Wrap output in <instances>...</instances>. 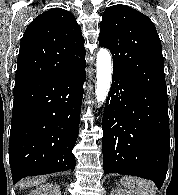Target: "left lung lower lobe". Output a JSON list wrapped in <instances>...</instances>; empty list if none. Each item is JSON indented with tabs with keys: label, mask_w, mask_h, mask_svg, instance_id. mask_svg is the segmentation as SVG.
I'll return each mask as SVG.
<instances>
[{
	"label": "left lung lower lobe",
	"mask_w": 178,
	"mask_h": 195,
	"mask_svg": "<svg viewBox=\"0 0 178 195\" xmlns=\"http://www.w3.org/2000/svg\"><path fill=\"white\" fill-rule=\"evenodd\" d=\"M103 169L152 180L160 189L168 170V96L113 72L103 119Z\"/></svg>",
	"instance_id": "0a47b994"
}]
</instances>
